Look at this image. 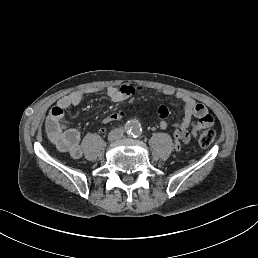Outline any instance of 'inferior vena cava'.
Segmentation results:
<instances>
[{
	"label": "inferior vena cava",
	"instance_id": "obj_1",
	"mask_svg": "<svg viewBox=\"0 0 258 258\" xmlns=\"http://www.w3.org/2000/svg\"><path fill=\"white\" fill-rule=\"evenodd\" d=\"M119 135H121V130L111 131L110 139H119Z\"/></svg>",
	"mask_w": 258,
	"mask_h": 258
}]
</instances>
